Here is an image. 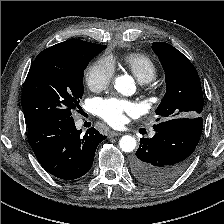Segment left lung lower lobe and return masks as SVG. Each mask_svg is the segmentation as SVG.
Listing matches in <instances>:
<instances>
[{
  "label": "left lung lower lobe",
  "instance_id": "left-lung-lower-lobe-1",
  "mask_svg": "<svg viewBox=\"0 0 224 224\" xmlns=\"http://www.w3.org/2000/svg\"><path fill=\"white\" fill-rule=\"evenodd\" d=\"M153 138L140 139L132 160L134 176L141 182L167 185L187 169L203 129V119L183 117L166 120L153 126Z\"/></svg>",
  "mask_w": 224,
  "mask_h": 224
}]
</instances>
